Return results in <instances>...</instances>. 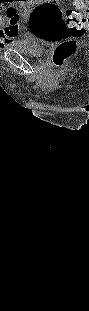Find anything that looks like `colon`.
<instances>
[{"mask_svg":"<svg viewBox=\"0 0 89 311\" xmlns=\"http://www.w3.org/2000/svg\"><path fill=\"white\" fill-rule=\"evenodd\" d=\"M17 12L13 8L1 15V24L17 29ZM89 26V15L83 0H75L74 8H65L56 0H47L36 6L30 16L29 28L39 38L58 43L53 53L57 64L72 56L77 49L76 39L82 37Z\"/></svg>","mask_w":89,"mask_h":311,"instance_id":"5ec220e1","label":"colon"}]
</instances>
